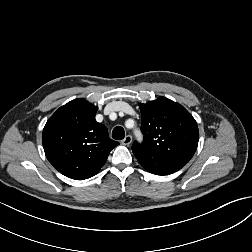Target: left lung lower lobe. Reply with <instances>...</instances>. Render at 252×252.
Wrapping results in <instances>:
<instances>
[{
    "mask_svg": "<svg viewBox=\"0 0 252 252\" xmlns=\"http://www.w3.org/2000/svg\"><path fill=\"white\" fill-rule=\"evenodd\" d=\"M139 163L150 173L156 175H169L180 170L188 161L180 158L160 157L137 159Z\"/></svg>",
    "mask_w": 252,
    "mask_h": 252,
    "instance_id": "left-lung-lower-lobe-1",
    "label": "left lung lower lobe"
}]
</instances>
